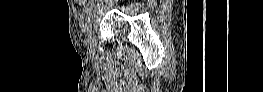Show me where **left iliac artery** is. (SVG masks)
<instances>
[{
	"mask_svg": "<svg viewBox=\"0 0 263 92\" xmlns=\"http://www.w3.org/2000/svg\"><path fill=\"white\" fill-rule=\"evenodd\" d=\"M94 16H95V11H90V15H88L87 16V35H88V33H89V31H90V29H91V26H92V23H91V21H93L94 20Z\"/></svg>",
	"mask_w": 263,
	"mask_h": 92,
	"instance_id": "left-iliac-artery-1",
	"label": "left iliac artery"
}]
</instances>
